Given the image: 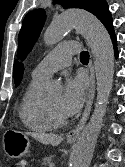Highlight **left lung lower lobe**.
I'll return each mask as SVG.
<instances>
[{"label": "left lung lower lobe", "mask_w": 125, "mask_h": 167, "mask_svg": "<svg viewBox=\"0 0 125 167\" xmlns=\"http://www.w3.org/2000/svg\"><path fill=\"white\" fill-rule=\"evenodd\" d=\"M106 29L108 30V33L112 39L113 42V46H114V52H115V57H118V50H117V39H116V35L114 32V28H113V24L110 23L106 26Z\"/></svg>", "instance_id": "left-lung-lower-lobe-1"}]
</instances>
